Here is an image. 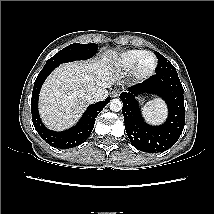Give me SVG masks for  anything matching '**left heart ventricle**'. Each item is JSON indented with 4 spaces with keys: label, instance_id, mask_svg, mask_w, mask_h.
<instances>
[{
    "label": "left heart ventricle",
    "instance_id": "left-heart-ventricle-1",
    "mask_svg": "<svg viewBox=\"0 0 214 214\" xmlns=\"http://www.w3.org/2000/svg\"><path fill=\"white\" fill-rule=\"evenodd\" d=\"M154 59L151 56H146L143 60L142 67L143 69H149L152 67Z\"/></svg>",
    "mask_w": 214,
    "mask_h": 214
}]
</instances>
